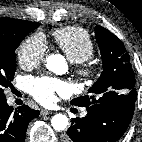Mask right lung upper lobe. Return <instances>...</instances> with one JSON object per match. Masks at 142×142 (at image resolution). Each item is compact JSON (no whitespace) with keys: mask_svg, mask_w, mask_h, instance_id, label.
<instances>
[{"mask_svg":"<svg viewBox=\"0 0 142 142\" xmlns=\"http://www.w3.org/2000/svg\"><path fill=\"white\" fill-rule=\"evenodd\" d=\"M36 24L38 23L13 18H2L0 19V36H6L15 31L34 26Z\"/></svg>","mask_w":142,"mask_h":142,"instance_id":"cb5924a9","label":"right lung upper lobe"}]
</instances>
